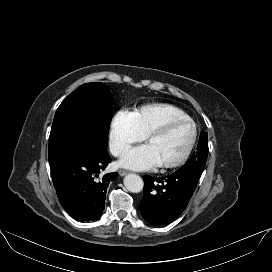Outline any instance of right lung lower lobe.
Instances as JSON below:
<instances>
[{
    "instance_id": "1",
    "label": "right lung lower lobe",
    "mask_w": 272,
    "mask_h": 272,
    "mask_svg": "<svg viewBox=\"0 0 272 272\" xmlns=\"http://www.w3.org/2000/svg\"><path fill=\"white\" fill-rule=\"evenodd\" d=\"M111 158L106 147L81 143L50 165L54 187L65 210L78 221H93L102 215L109 183L117 173L99 177Z\"/></svg>"
}]
</instances>
